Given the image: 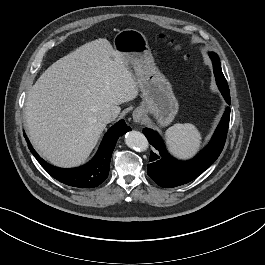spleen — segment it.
<instances>
[{"mask_svg":"<svg viewBox=\"0 0 265 265\" xmlns=\"http://www.w3.org/2000/svg\"><path fill=\"white\" fill-rule=\"evenodd\" d=\"M170 152L176 157L188 159L201 147L202 136L193 124H174L165 132Z\"/></svg>","mask_w":265,"mask_h":265,"instance_id":"1","label":"spleen"}]
</instances>
